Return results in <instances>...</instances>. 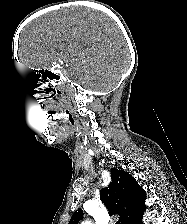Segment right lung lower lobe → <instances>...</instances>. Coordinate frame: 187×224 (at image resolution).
Listing matches in <instances>:
<instances>
[{
	"instance_id": "1",
	"label": "right lung lower lobe",
	"mask_w": 187,
	"mask_h": 224,
	"mask_svg": "<svg viewBox=\"0 0 187 224\" xmlns=\"http://www.w3.org/2000/svg\"><path fill=\"white\" fill-rule=\"evenodd\" d=\"M133 224H142V216H140Z\"/></svg>"
}]
</instances>
